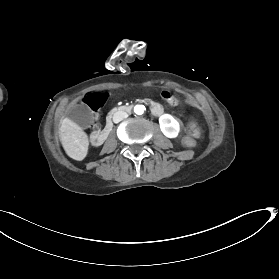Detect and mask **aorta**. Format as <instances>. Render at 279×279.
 Listing matches in <instances>:
<instances>
[{
	"label": "aorta",
	"mask_w": 279,
	"mask_h": 279,
	"mask_svg": "<svg viewBox=\"0 0 279 279\" xmlns=\"http://www.w3.org/2000/svg\"><path fill=\"white\" fill-rule=\"evenodd\" d=\"M144 110H145V107H144L143 105H136V106L134 107V112H135L137 115L143 114Z\"/></svg>",
	"instance_id": "obj_1"
}]
</instances>
